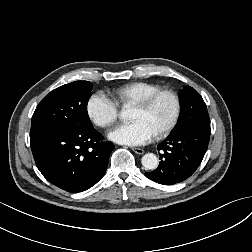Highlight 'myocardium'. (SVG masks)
Here are the masks:
<instances>
[{
	"label": "myocardium",
	"mask_w": 252,
	"mask_h": 252,
	"mask_svg": "<svg viewBox=\"0 0 252 252\" xmlns=\"http://www.w3.org/2000/svg\"><path fill=\"white\" fill-rule=\"evenodd\" d=\"M162 95H169L173 99L174 112H173L172 118L169 121V123L162 130L155 133V135L157 137H165V136L169 135L178 123V120H179L180 114H181V100H180L178 93L172 89L161 88V89L151 93L146 98H144L142 101H140L134 105V107L139 108L141 110H148L155 103V101Z\"/></svg>",
	"instance_id": "f54148a6"
}]
</instances>
